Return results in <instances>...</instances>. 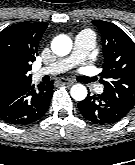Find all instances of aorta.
I'll return each mask as SVG.
<instances>
[{
  "instance_id": "obj_1",
  "label": "aorta",
  "mask_w": 135,
  "mask_h": 165,
  "mask_svg": "<svg viewBox=\"0 0 135 165\" xmlns=\"http://www.w3.org/2000/svg\"><path fill=\"white\" fill-rule=\"evenodd\" d=\"M51 48L55 54L65 56L69 54L72 49V41L67 36H58L52 42ZM70 94L73 99L82 101L87 96V89L82 84H75L71 87Z\"/></svg>"
}]
</instances>
